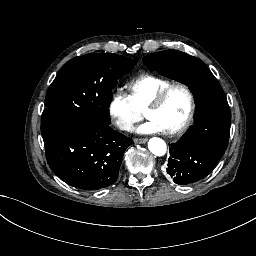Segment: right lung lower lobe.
<instances>
[{"instance_id": "98d812e1", "label": "right lung lower lobe", "mask_w": 256, "mask_h": 256, "mask_svg": "<svg viewBox=\"0 0 256 256\" xmlns=\"http://www.w3.org/2000/svg\"><path fill=\"white\" fill-rule=\"evenodd\" d=\"M43 139L51 170L67 184L84 190L112 185L126 148L133 144L109 126H88L77 133L56 130Z\"/></svg>"}]
</instances>
